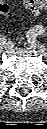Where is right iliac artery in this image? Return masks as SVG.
I'll return each mask as SVG.
<instances>
[{"label":"right iliac artery","instance_id":"obj_1","mask_svg":"<svg viewBox=\"0 0 47 129\" xmlns=\"http://www.w3.org/2000/svg\"><path fill=\"white\" fill-rule=\"evenodd\" d=\"M4 43H6V38H5V36H1L0 37V44H4Z\"/></svg>","mask_w":47,"mask_h":129}]
</instances>
